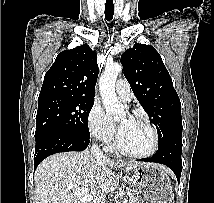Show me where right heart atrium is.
Returning <instances> with one entry per match:
<instances>
[{"label":"right heart atrium","mask_w":214,"mask_h":203,"mask_svg":"<svg viewBox=\"0 0 214 203\" xmlns=\"http://www.w3.org/2000/svg\"><path fill=\"white\" fill-rule=\"evenodd\" d=\"M87 126L91 136L101 143L110 144L116 136L115 125L98 102H95L89 111Z\"/></svg>","instance_id":"d8ad5b80"}]
</instances>
